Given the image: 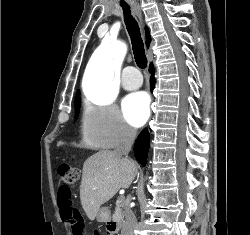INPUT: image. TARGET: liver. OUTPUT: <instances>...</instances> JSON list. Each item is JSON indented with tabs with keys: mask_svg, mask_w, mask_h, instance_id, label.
I'll use <instances>...</instances> for the list:
<instances>
[{
	"mask_svg": "<svg viewBox=\"0 0 250 235\" xmlns=\"http://www.w3.org/2000/svg\"><path fill=\"white\" fill-rule=\"evenodd\" d=\"M137 174V164L114 151H99L83 165L80 200L87 217L93 221L100 206L120 188H128Z\"/></svg>",
	"mask_w": 250,
	"mask_h": 235,
	"instance_id": "liver-1",
	"label": "liver"
}]
</instances>
